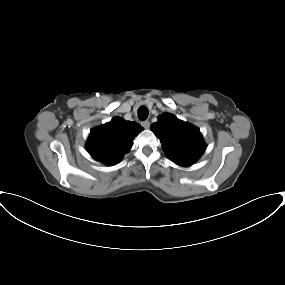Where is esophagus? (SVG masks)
<instances>
[{
    "instance_id": "esophagus-1",
    "label": "esophagus",
    "mask_w": 285,
    "mask_h": 285,
    "mask_svg": "<svg viewBox=\"0 0 285 285\" xmlns=\"http://www.w3.org/2000/svg\"><path fill=\"white\" fill-rule=\"evenodd\" d=\"M141 125L145 128L148 129L150 127V122L149 121H143L141 122Z\"/></svg>"
}]
</instances>
